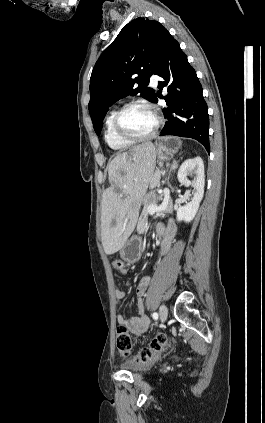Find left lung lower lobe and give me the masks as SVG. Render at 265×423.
Wrapping results in <instances>:
<instances>
[{
	"mask_svg": "<svg viewBox=\"0 0 265 423\" xmlns=\"http://www.w3.org/2000/svg\"><path fill=\"white\" fill-rule=\"evenodd\" d=\"M156 75L162 77L158 87L167 88L164 97L167 108L163 114L167 122L160 136L174 135L199 141L209 152L208 107L195 70L189 64L179 43L171 36ZM157 94L153 102H157Z\"/></svg>",
	"mask_w": 265,
	"mask_h": 423,
	"instance_id": "left-lung-lower-lobe-1",
	"label": "left lung lower lobe"
}]
</instances>
